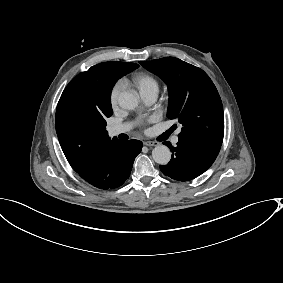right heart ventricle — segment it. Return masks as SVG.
<instances>
[{
    "label": "right heart ventricle",
    "mask_w": 283,
    "mask_h": 283,
    "mask_svg": "<svg viewBox=\"0 0 283 283\" xmlns=\"http://www.w3.org/2000/svg\"><path fill=\"white\" fill-rule=\"evenodd\" d=\"M125 80L128 84L135 86L140 93L148 89H159L157 80L142 70L132 72Z\"/></svg>",
    "instance_id": "1"
}]
</instances>
